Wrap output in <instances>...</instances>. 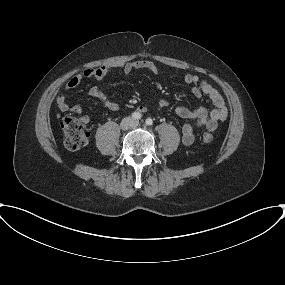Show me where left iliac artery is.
<instances>
[{"label": "left iliac artery", "mask_w": 285, "mask_h": 285, "mask_svg": "<svg viewBox=\"0 0 285 285\" xmlns=\"http://www.w3.org/2000/svg\"><path fill=\"white\" fill-rule=\"evenodd\" d=\"M153 124V120L151 118H147L146 119V125H152Z\"/></svg>", "instance_id": "1"}]
</instances>
